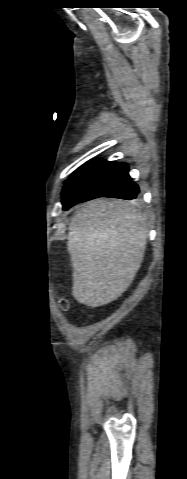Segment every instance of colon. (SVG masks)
I'll return each instance as SVG.
<instances>
[{"instance_id":"colon-1","label":"colon","mask_w":187,"mask_h":479,"mask_svg":"<svg viewBox=\"0 0 187 479\" xmlns=\"http://www.w3.org/2000/svg\"><path fill=\"white\" fill-rule=\"evenodd\" d=\"M60 306H61V308H62L63 310H67V309L69 308V304H68V302L65 301V300H61V301H60Z\"/></svg>"}]
</instances>
